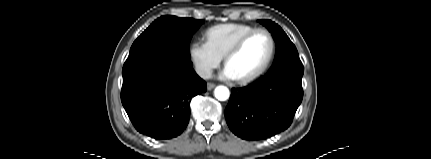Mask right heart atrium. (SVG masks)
Segmentation results:
<instances>
[{
    "instance_id": "1",
    "label": "right heart atrium",
    "mask_w": 431,
    "mask_h": 159,
    "mask_svg": "<svg viewBox=\"0 0 431 159\" xmlns=\"http://www.w3.org/2000/svg\"><path fill=\"white\" fill-rule=\"evenodd\" d=\"M189 56L196 72L202 78H209L222 61V57L214 51L207 41L202 39L194 40L190 44Z\"/></svg>"
}]
</instances>
